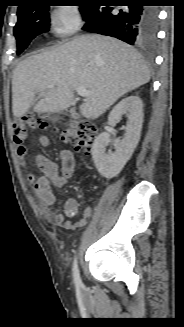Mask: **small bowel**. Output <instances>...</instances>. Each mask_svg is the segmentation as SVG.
Here are the masks:
<instances>
[{"mask_svg": "<svg viewBox=\"0 0 184 327\" xmlns=\"http://www.w3.org/2000/svg\"><path fill=\"white\" fill-rule=\"evenodd\" d=\"M39 144L42 147L49 145V139L46 135L39 137ZM38 167L42 171L41 176L33 172H28L26 179L33 185L38 196L44 216L52 223H55L66 230H75L86 225L87 218L91 215V209H86L83 216L75 221L66 219L74 216L78 211L77 202L74 199H68L63 205V214L54 211L57 205V198L52 190V186L61 188L66 185L75 171V159L70 150L60 151V165L47 159L44 156L37 157Z\"/></svg>", "mask_w": 184, "mask_h": 327, "instance_id": "obj_1", "label": "small bowel"}]
</instances>
